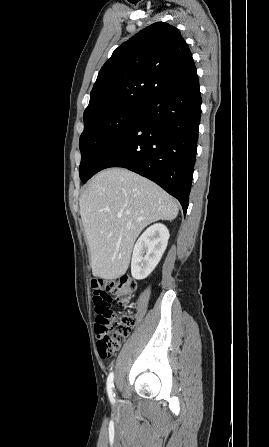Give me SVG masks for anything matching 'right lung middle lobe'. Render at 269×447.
Listing matches in <instances>:
<instances>
[{
    "label": "right lung middle lobe",
    "mask_w": 269,
    "mask_h": 447,
    "mask_svg": "<svg viewBox=\"0 0 269 447\" xmlns=\"http://www.w3.org/2000/svg\"><path fill=\"white\" fill-rule=\"evenodd\" d=\"M144 112V104L125 106L84 122L79 147L82 154L79 176L90 177L91 168L101 155L125 132L132 128Z\"/></svg>",
    "instance_id": "obj_1"
}]
</instances>
